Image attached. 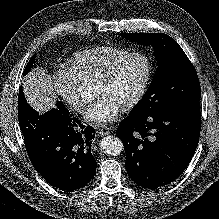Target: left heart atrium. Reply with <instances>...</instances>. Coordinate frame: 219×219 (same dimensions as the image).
I'll return each mask as SVG.
<instances>
[{
    "label": "left heart atrium",
    "instance_id": "1",
    "mask_svg": "<svg viewBox=\"0 0 219 219\" xmlns=\"http://www.w3.org/2000/svg\"><path fill=\"white\" fill-rule=\"evenodd\" d=\"M121 107L106 96L98 99L87 110L85 117L95 123H108L117 118Z\"/></svg>",
    "mask_w": 219,
    "mask_h": 219
}]
</instances>
